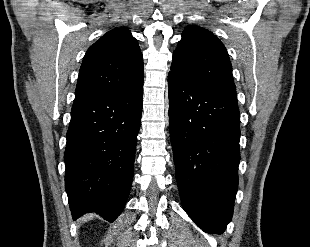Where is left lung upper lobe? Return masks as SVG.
Masks as SVG:
<instances>
[{
  "instance_id": "obj_1",
  "label": "left lung upper lobe",
  "mask_w": 310,
  "mask_h": 247,
  "mask_svg": "<svg viewBox=\"0 0 310 247\" xmlns=\"http://www.w3.org/2000/svg\"><path fill=\"white\" fill-rule=\"evenodd\" d=\"M171 73L236 94L229 55L209 30L189 25L173 54Z\"/></svg>"
}]
</instances>
